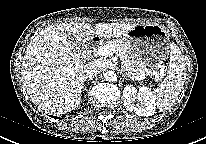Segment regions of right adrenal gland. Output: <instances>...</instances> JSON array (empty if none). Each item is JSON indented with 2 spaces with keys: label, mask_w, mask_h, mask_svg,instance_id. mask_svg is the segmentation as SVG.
Returning a JSON list of instances; mask_svg holds the SVG:
<instances>
[{
  "label": "right adrenal gland",
  "mask_w": 206,
  "mask_h": 144,
  "mask_svg": "<svg viewBox=\"0 0 206 144\" xmlns=\"http://www.w3.org/2000/svg\"><path fill=\"white\" fill-rule=\"evenodd\" d=\"M86 79L91 80L90 78H85L84 81H85ZM82 87L84 88V87H85V84H83Z\"/></svg>",
  "instance_id": "1"
}]
</instances>
